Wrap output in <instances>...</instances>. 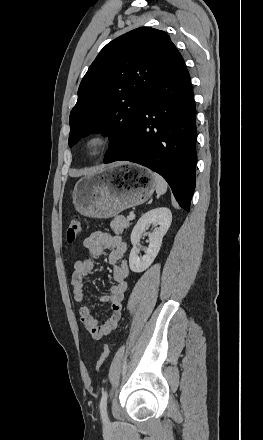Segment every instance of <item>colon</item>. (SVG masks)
Masks as SVG:
<instances>
[{
  "label": "colon",
  "mask_w": 263,
  "mask_h": 440,
  "mask_svg": "<svg viewBox=\"0 0 263 440\" xmlns=\"http://www.w3.org/2000/svg\"><path fill=\"white\" fill-rule=\"evenodd\" d=\"M81 231H82L81 219H80V217L75 216L74 218H72L69 221L68 226H67V234L66 235H67L68 242H74L80 236ZM108 355H109V346L106 344V345H104V347H103V349L97 359V362H96V369L97 370H100L103 367Z\"/></svg>",
  "instance_id": "5ec220e1"
}]
</instances>
